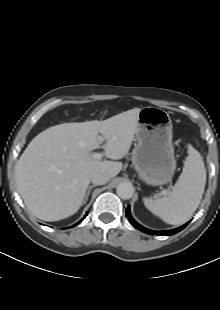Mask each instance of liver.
I'll list each match as a JSON object with an SVG mask.
<instances>
[{
  "label": "liver",
  "mask_w": 220,
  "mask_h": 310,
  "mask_svg": "<svg viewBox=\"0 0 220 310\" xmlns=\"http://www.w3.org/2000/svg\"><path fill=\"white\" fill-rule=\"evenodd\" d=\"M140 111L134 108L103 121L63 123L39 133L15 167L19 194L32 215L50 222L70 217L81 207L93 174H107L110 179L118 175L121 162L99 161L91 152L100 147V133L107 158L125 157Z\"/></svg>",
  "instance_id": "6515ba94"
}]
</instances>
